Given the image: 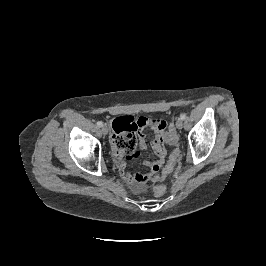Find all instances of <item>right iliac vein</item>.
<instances>
[{
	"label": "right iliac vein",
	"instance_id": "63e3f726",
	"mask_svg": "<svg viewBox=\"0 0 266 266\" xmlns=\"http://www.w3.org/2000/svg\"><path fill=\"white\" fill-rule=\"evenodd\" d=\"M101 131H102V133H103L104 135H106V134H108L109 129H108V127H107L106 125H103V126L101 127Z\"/></svg>",
	"mask_w": 266,
	"mask_h": 266
}]
</instances>
